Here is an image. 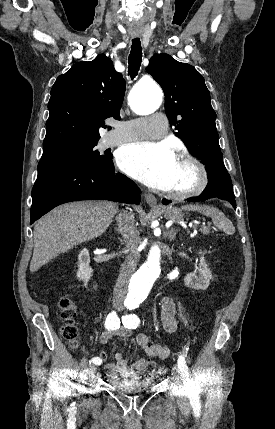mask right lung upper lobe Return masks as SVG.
Segmentation results:
<instances>
[{
  "mask_svg": "<svg viewBox=\"0 0 275 429\" xmlns=\"http://www.w3.org/2000/svg\"><path fill=\"white\" fill-rule=\"evenodd\" d=\"M124 93L122 74L106 55L73 65L51 89L42 156L98 142L99 128H106L104 120L120 119Z\"/></svg>",
  "mask_w": 275,
  "mask_h": 429,
  "instance_id": "1",
  "label": "right lung upper lobe"
}]
</instances>
